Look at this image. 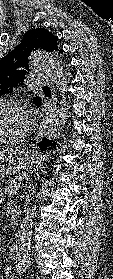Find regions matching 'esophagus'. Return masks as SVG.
<instances>
[{"label": "esophagus", "mask_w": 113, "mask_h": 279, "mask_svg": "<svg viewBox=\"0 0 113 279\" xmlns=\"http://www.w3.org/2000/svg\"><path fill=\"white\" fill-rule=\"evenodd\" d=\"M56 104H57V94H56V89L55 87L51 84V99H50V109L49 112L50 114H53L54 111L56 110ZM47 117L43 119V121L40 123V129L44 126V123L46 121ZM42 137V132L39 131V133L36 136V140H40Z\"/></svg>", "instance_id": "1"}]
</instances>
